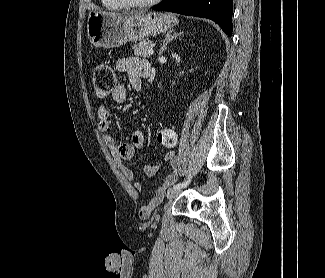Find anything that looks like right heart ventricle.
I'll return each instance as SVG.
<instances>
[{
  "label": "right heart ventricle",
  "mask_w": 325,
  "mask_h": 278,
  "mask_svg": "<svg viewBox=\"0 0 325 278\" xmlns=\"http://www.w3.org/2000/svg\"><path fill=\"white\" fill-rule=\"evenodd\" d=\"M103 7L108 10H121L124 8L117 0H101Z\"/></svg>",
  "instance_id": "e07e8e85"
}]
</instances>
